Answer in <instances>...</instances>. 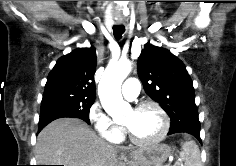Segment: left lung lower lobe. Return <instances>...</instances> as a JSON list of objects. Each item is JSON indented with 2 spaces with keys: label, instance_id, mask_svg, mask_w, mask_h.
<instances>
[{
  "label": "left lung lower lobe",
  "instance_id": "1",
  "mask_svg": "<svg viewBox=\"0 0 236 166\" xmlns=\"http://www.w3.org/2000/svg\"><path fill=\"white\" fill-rule=\"evenodd\" d=\"M175 133H189L195 136L201 142L198 114L191 115L185 119L171 123L168 135Z\"/></svg>",
  "mask_w": 236,
  "mask_h": 166
}]
</instances>
